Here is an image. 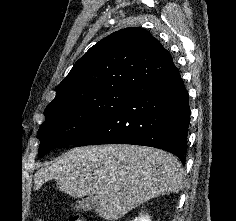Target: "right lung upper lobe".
Returning a JSON list of instances; mask_svg holds the SVG:
<instances>
[{
    "mask_svg": "<svg viewBox=\"0 0 236 221\" xmlns=\"http://www.w3.org/2000/svg\"><path fill=\"white\" fill-rule=\"evenodd\" d=\"M173 66L169 52L147 30L121 29L96 43L75 63L48 106L116 88L138 91Z\"/></svg>",
    "mask_w": 236,
    "mask_h": 221,
    "instance_id": "1",
    "label": "right lung upper lobe"
}]
</instances>
